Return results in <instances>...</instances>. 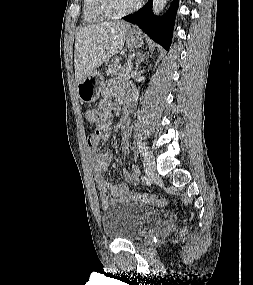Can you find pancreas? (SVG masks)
I'll return each mask as SVG.
<instances>
[{
  "label": "pancreas",
  "mask_w": 253,
  "mask_h": 285,
  "mask_svg": "<svg viewBox=\"0 0 253 285\" xmlns=\"http://www.w3.org/2000/svg\"><path fill=\"white\" fill-rule=\"evenodd\" d=\"M126 71L127 67L125 65H120L114 61L108 66L106 73L112 77L122 78Z\"/></svg>",
  "instance_id": "cf45deb5"
}]
</instances>
